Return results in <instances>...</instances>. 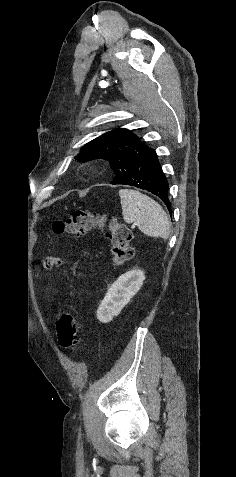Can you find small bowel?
Here are the masks:
<instances>
[{
    "mask_svg": "<svg viewBox=\"0 0 236 477\" xmlns=\"http://www.w3.org/2000/svg\"><path fill=\"white\" fill-rule=\"evenodd\" d=\"M60 264H61V261L57 258H52L51 257L47 260V265H49V266L60 265Z\"/></svg>",
    "mask_w": 236,
    "mask_h": 477,
    "instance_id": "obj_1",
    "label": "small bowel"
}]
</instances>
